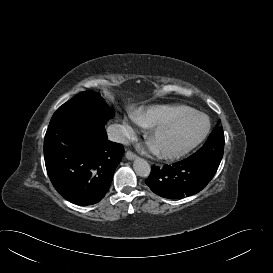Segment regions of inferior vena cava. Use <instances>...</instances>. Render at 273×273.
<instances>
[{"mask_svg": "<svg viewBox=\"0 0 273 273\" xmlns=\"http://www.w3.org/2000/svg\"><path fill=\"white\" fill-rule=\"evenodd\" d=\"M108 139L114 142L127 144L129 142L128 134L125 128L118 124L110 125L107 129Z\"/></svg>", "mask_w": 273, "mask_h": 273, "instance_id": "inferior-vena-cava-1", "label": "inferior vena cava"}]
</instances>
